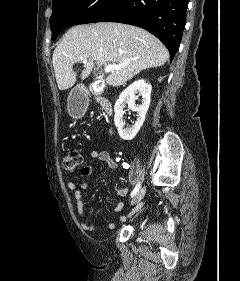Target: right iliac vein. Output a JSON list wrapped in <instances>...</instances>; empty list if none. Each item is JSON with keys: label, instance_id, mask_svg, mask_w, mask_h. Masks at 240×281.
<instances>
[{"label": "right iliac vein", "instance_id": "right-iliac-vein-1", "mask_svg": "<svg viewBox=\"0 0 240 281\" xmlns=\"http://www.w3.org/2000/svg\"><path fill=\"white\" fill-rule=\"evenodd\" d=\"M145 193H146V189H145V187H143L140 191L137 192V194L131 201V205H134V204L138 203L139 201H141L143 199Z\"/></svg>", "mask_w": 240, "mask_h": 281}]
</instances>
